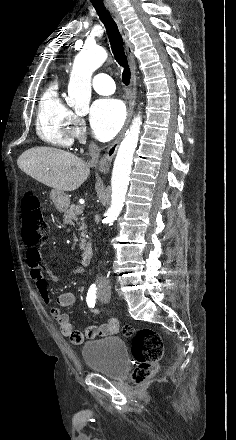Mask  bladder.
<instances>
[{"mask_svg": "<svg viewBox=\"0 0 236 440\" xmlns=\"http://www.w3.org/2000/svg\"><path fill=\"white\" fill-rule=\"evenodd\" d=\"M82 357L88 369L119 378L129 366V355L123 339L107 336L85 342L81 349Z\"/></svg>", "mask_w": 236, "mask_h": 440, "instance_id": "31cf9c89", "label": "bladder"}]
</instances>
